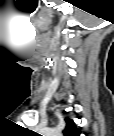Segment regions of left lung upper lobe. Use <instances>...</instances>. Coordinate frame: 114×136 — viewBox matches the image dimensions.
<instances>
[{
	"instance_id": "5c2ea615",
	"label": "left lung upper lobe",
	"mask_w": 114,
	"mask_h": 136,
	"mask_svg": "<svg viewBox=\"0 0 114 136\" xmlns=\"http://www.w3.org/2000/svg\"><path fill=\"white\" fill-rule=\"evenodd\" d=\"M65 122H66V127L63 130V133L65 136H79L80 135V130L75 127L73 120L66 118Z\"/></svg>"
}]
</instances>
